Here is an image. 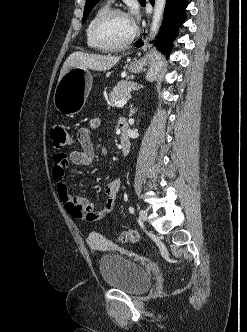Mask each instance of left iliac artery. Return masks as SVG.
<instances>
[{"label":"left iliac artery","instance_id":"44dca946","mask_svg":"<svg viewBox=\"0 0 247 332\" xmlns=\"http://www.w3.org/2000/svg\"><path fill=\"white\" fill-rule=\"evenodd\" d=\"M129 211H130L131 214H134V207L130 206Z\"/></svg>","mask_w":247,"mask_h":332}]
</instances>
